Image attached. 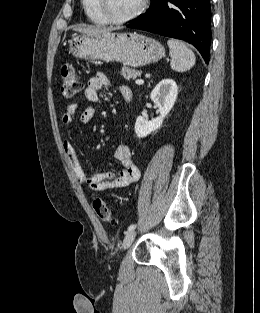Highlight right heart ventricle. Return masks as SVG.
I'll return each mask as SVG.
<instances>
[{
	"label": "right heart ventricle",
	"mask_w": 260,
	"mask_h": 313,
	"mask_svg": "<svg viewBox=\"0 0 260 313\" xmlns=\"http://www.w3.org/2000/svg\"><path fill=\"white\" fill-rule=\"evenodd\" d=\"M81 4L90 22L95 25L107 24L96 8V0H81Z\"/></svg>",
	"instance_id": "right-heart-ventricle-1"
}]
</instances>
